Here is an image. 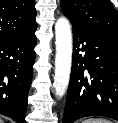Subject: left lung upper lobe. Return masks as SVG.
Returning a JSON list of instances; mask_svg holds the SVG:
<instances>
[{
    "label": "left lung upper lobe",
    "mask_w": 118,
    "mask_h": 123,
    "mask_svg": "<svg viewBox=\"0 0 118 123\" xmlns=\"http://www.w3.org/2000/svg\"><path fill=\"white\" fill-rule=\"evenodd\" d=\"M73 28L118 40V13L109 0H61Z\"/></svg>",
    "instance_id": "5c2ea615"
}]
</instances>
